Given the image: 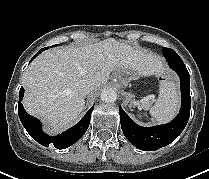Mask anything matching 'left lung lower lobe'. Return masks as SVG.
I'll return each mask as SVG.
<instances>
[{"label": "left lung lower lobe", "mask_w": 209, "mask_h": 179, "mask_svg": "<svg viewBox=\"0 0 209 179\" xmlns=\"http://www.w3.org/2000/svg\"><path fill=\"white\" fill-rule=\"evenodd\" d=\"M168 65L179 76L181 82V109L177 117L170 123L153 127H142L136 124L119 107L121 128L125 137L136 148L144 151H154L173 142L184 130L190 116V75L181 58L168 57Z\"/></svg>", "instance_id": "obj_1"}]
</instances>
